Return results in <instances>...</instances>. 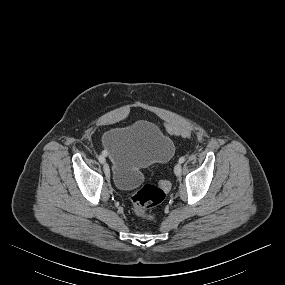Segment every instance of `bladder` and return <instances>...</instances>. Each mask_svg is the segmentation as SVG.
I'll return each mask as SVG.
<instances>
[{
    "label": "bladder",
    "mask_w": 285,
    "mask_h": 285,
    "mask_svg": "<svg viewBox=\"0 0 285 285\" xmlns=\"http://www.w3.org/2000/svg\"><path fill=\"white\" fill-rule=\"evenodd\" d=\"M102 141L111 163L113 183L123 192L141 184L146 167L166 162L174 153L171 139L156 124L146 120L110 129Z\"/></svg>",
    "instance_id": "31cf9c89"
}]
</instances>
